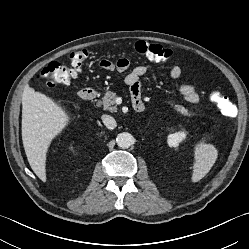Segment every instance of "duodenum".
<instances>
[{
  "label": "duodenum",
  "mask_w": 249,
  "mask_h": 249,
  "mask_svg": "<svg viewBox=\"0 0 249 249\" xmlns=\"http://www.w3.org/2000/svg\"><path fill=\"white\" fill-rule=\"evenodd\" d=\"M97 93L95 89L91 87H86L80 90L79 96L82 100H92L96 97ZM133 107L136 111L142 112L144 110V103L140 98L134 99L133 100Z\"/></svg>",
  "instance_id": "duodenum-1"
}]
</instances>
